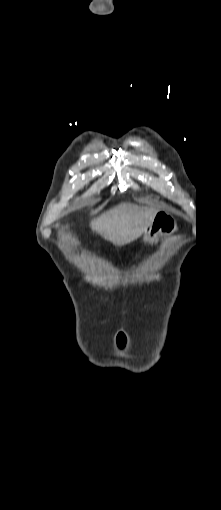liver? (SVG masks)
I'll return each mask as SVG.
<instances>
[{
	"label": "liver",
	"instance_id": "6515ba94",
	"mask_svg": "<svg viewBox=\"0 0 221 510\" xmlns=\"http://www.w3.org/2000/svg\"><path fill=\"white\" fill-rule=\"evenodd\" d=\"M157 213L154 208L121 203L93 219L90 226L105 240L123 246L145 233Z\"/></svg>",
	"mask_w": 221,
	"mask_h": 510
}]
</instances>
